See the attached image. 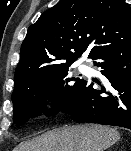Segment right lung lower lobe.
I'll list each match as a JSON object with an SVG mask.
<instances>
[{"label":"right lung lower lobe","instance_id":"98d812e1","mask_svg":"<svg viewBox=\"0 0 131 151\" xmlns=\"http://www.w3.org/2000/svg\"><path fill=\"white\" fill-rule=\"evenodd\" d=\"M107 78L94 89L83 80L61 112L81 121L131 129V33L96 50L90 57Z\"/></svg>","mask_w":131,"mask_h":151}]
</instances>
